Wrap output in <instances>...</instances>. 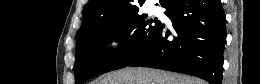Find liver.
I'll return each mask as SVG.
<instances>
[{
  "instance_id": "6515ba94",
  "label": "liver",
  "mask_w": 260,
  "mask_h": 84,
  "mask_svg": "<svg viewBox=\"0 0 260 84\" xmlns=\"http://www.w3.org/2000/svg\"><path fill=\"white\" fill-rule=\"evenodd\" d=\"M96 84H206L187 75L150 68H125L110 73Z\"/></svg>"
}]
</instances>
